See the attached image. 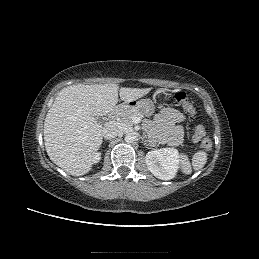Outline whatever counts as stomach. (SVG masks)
<instances>
[{"instance_id": "1", "label": "stomach", "mask_w": 259, "mask_h": 259, "mask_svg": "<svg viewBox=\"0 0 259 259\" xmlns=\"http://www.w3.org/2000/svg\"><path fill=\"white\" fill-rule=\"evenodd\" d=\"M165 98L170 97L166 91H163ZM124 108L137 109L145 115H151L154 113V104L150 99L132 100L124 105Z\"/></svg>"}]
</instances>
